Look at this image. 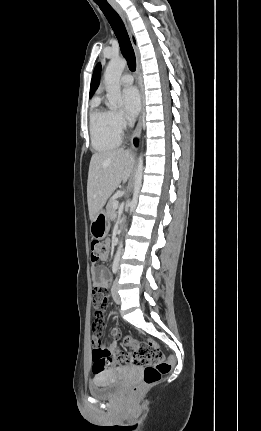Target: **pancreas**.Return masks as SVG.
<instances>
[{
    "mask_svg": "<svg viewBox=\"0 0 261 431\" xmlns=\"http://www.w3.org/2000/svg\"><path fill=\"white\" fill-rule=\"evenodd\" d=\"M115 202H117V200L115 198H110V200L108 201V204L106 206V213H107L109 220H113L116 217V211L113 207V204Z\"/></svg>",
    "mask_w": 261,
    "mask_h": 431,
    "instance_id": "cf45deb5",
    "label": "pancreas"
}]
</instances>
